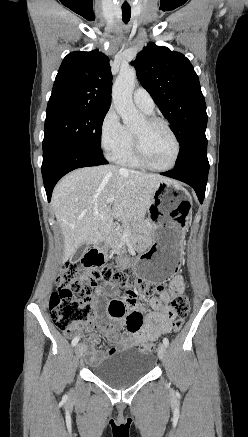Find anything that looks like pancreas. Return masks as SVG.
Instances as JSON below:
<instances>
[{"instance_id":"pancreas-1","label":"pancreas","mask_w":248,"mask_h":437,"mask_svg":"<svg viewBox=\"0 0 248 437\" xmlns=\"http://www.w3.org/2000/svg\"><path fill=\"white\" fill-rule=\"evenodd\" d=\"M141 230V232L146 235L149 231L148 226L143 223V222H135V221H131L129 222H125L122 226L118 227L112 236V239L109 243V245L111 247H117L121 244V242L123 241V233L124 232H133L135 230Z\"/></svg>"}]
</instances>
